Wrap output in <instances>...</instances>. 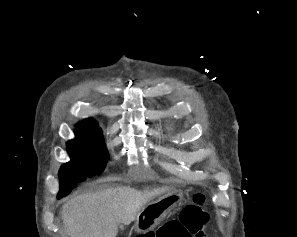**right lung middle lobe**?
<instances>
[{
	"mask_svg": "<svg viewBox=\"0 0 297 237\" xmlns=\"http://www.w3.org/2000/svg\"><path fill=\"white\" fill-rule=\"evenodd\" d=\"M76 138L67 142L71 161L62 165L58 198L71 192L77 182L100 174L108 159L101 131L96 134L75 132Z\"/></svg>",
	"mask_w": 297,
	"mask_h": 237,
	"instance_id": "dd1d6c3e",
	"label": "right lung middle lobe"
}]
</instances>
